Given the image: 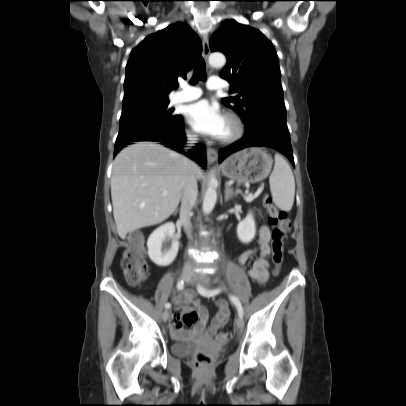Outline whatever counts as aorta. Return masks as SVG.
I'll list each match as a JSON object with an SVG mask.
<instances>
[{
  "instance_id": "obj_1",
  "label": "aorta",
  "mask_w": 406,
  "mask_h": 406,
  "mask_svg": "<svg viewBox=\"0 0 406 406\" xmlns=\"http://www.w3.org/2000/svg\"><path fill=\"white\" fill-rule=\"evenodd\" d=\"M226 63V58L222 53H212L209 56V64L213 67H222ZM217 180L215 177H211L209 180L208 188L206 190L204 200H203V212L205 214L210 213L217 200Z\"/></svg>"
}]
</instances>
